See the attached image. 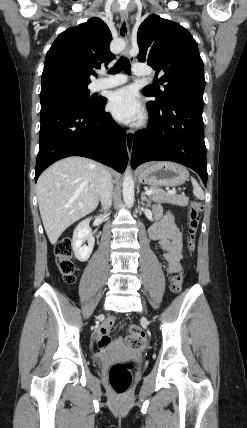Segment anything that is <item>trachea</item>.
<instances>
[{
    "label": "trachea",
    "instance_id": "3493384b",
    "mask_svg": "<svg viewBox=\"0 0 247 428\" xmlns=\"http://www.w3.org/2000/svg\"><path fill=\"white\" fill-rule=\"evenodd\" d=\"M125 70L127 74H130V62L127 58L121 57L119 61L110 69L111 74H117L120 71Z\"/></svg>",
    "mask_w": 247,
    "mask_h": 428
}]
</instances>
